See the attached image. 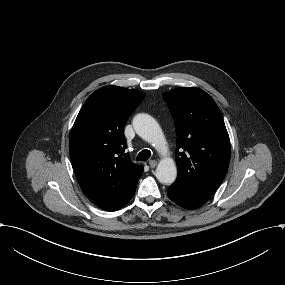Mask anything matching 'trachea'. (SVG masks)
<instances>
[{
	"instance_id": "3493384b",
	"label": "trachea",
	"mask_w": 285,
	"mask_h": 285,
	"mask_svg": "<svg viewBox=\"0 0 285 285\" xmlns=\"http://www.w3.org/2000/svg\"><path fill=\"white\" fill-rule=\"evenodd\" d=\"M151 156V152L149 150H142L138 155L137 161H147Z\"/></svg>"
}]
</instances>
